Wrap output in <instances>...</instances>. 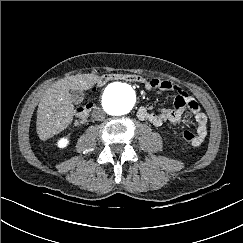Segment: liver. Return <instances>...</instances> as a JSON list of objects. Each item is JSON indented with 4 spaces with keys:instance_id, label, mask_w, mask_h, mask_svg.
<instances>
[{
    "instance_id": "obj_1",
    "label": "liver",
    "mask_w": 243,
    "mask_h": 243,
    "mask_svg": "<svg viewBox=\"0 0 243 243\" xmlns=\"http://www.w3.org/2000/svg\"><path fill=\"white\" fill-rule=\"evenodd\" d=\"M97 76L83 74L61 79L48 88L37 109L36 130L41 140H47L66 129L74 116L70 91L88 89Z\"/></svg>"
}]
</instances>
